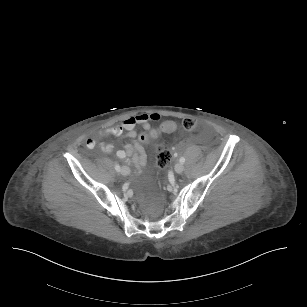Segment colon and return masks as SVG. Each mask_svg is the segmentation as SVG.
<instances>
[{
  "instance_id": "5ec220e1",
  "label": "colon",
  "mask_w": 307,
  "mask_h": 307,
  "mask_svg": "<svg viewBox=\"0 0 307 307\" xmlns=\"http://www.w3.org/2000/svg\"><path fill=\"white\" fill-rule=\"evenodd\" d=\"M182 127L185 131L191 132L194 131L198 128V123L194 119H184L182 121ZM178 130V123L174 119H167L164 121L163 126L160 127L157 131L153 130L152 132L149 133H141L140 134V139L143 141H149L153 137H156L158 134L162 135L163 133L167 134H174ZM171 158V152L170 150L164 146L160 145L157 148V163L158 166L162 169H164Z\"/></svg>"
}]
</instances>
